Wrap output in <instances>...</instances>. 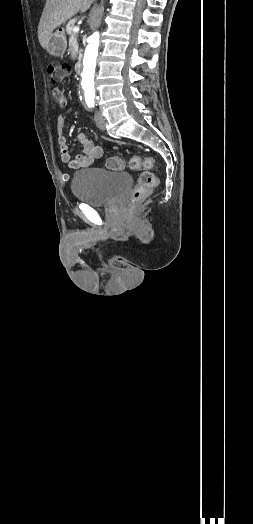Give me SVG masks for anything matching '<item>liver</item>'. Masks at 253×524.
Masks as SVG:
<instances>
[{
  "label": "liver",
  "instance_id": "6515ba94",
  "mask_svg": "<svg viewBox=\"0 0 253 524\" xmlns=\"http://www.w3.org/2000/svg\"><path fill=\"white\" fill-rule=\"evenodd\" d=\"M94 0H47L38 26V39L46 49L54 29L79 11L86 12Z\"/></svg>",
  "mask_w": 253,
  "mask_h": 524
}]
</instances>
